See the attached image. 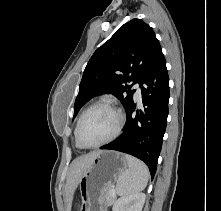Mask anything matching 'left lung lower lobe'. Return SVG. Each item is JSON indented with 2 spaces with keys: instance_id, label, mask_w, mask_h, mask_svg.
Returning <instances> with one entry per match:
<instances>
[{
  "instance_id": "obj_1",
  "label": "left lung lower lobe",
  "mask_w": 221,
  "mask_h": 211,
  "mask_svg": "<svg viewBox=\"0 0 221 211\" xmlns=\"http://www.w3.org/2000/svg\"><path fill=\"white\" fill-rule=\"evenodd\" d=\"M140 87L144 108L133 115L136 108L133 102L126 110L123 134L101 149L120 151L141 159L153 178L166 129L170 96L168 71L161 50L152 60Z\"/></svg>"
}]
</instances>
